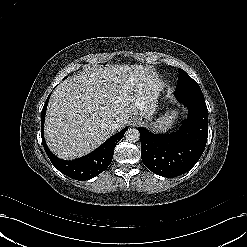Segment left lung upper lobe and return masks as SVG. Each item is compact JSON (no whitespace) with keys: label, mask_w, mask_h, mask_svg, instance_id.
<instances>
[{"label":"left lung upper lobe","mask_w":247,"mask_h":247,"mask_svg":"<svg viewBox=\"0 0 247 247\" xmlns=\"http://www.w3.org/2000/svg\"><path fill=\"white\" fill-rule=\"evenodd\" d=\"M195 80H193L184 70L179 68V77L176 89H186L191 86H197Z\"/></svg>","instance_id":"1"}]
</instances>
